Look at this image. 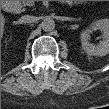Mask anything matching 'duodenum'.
Instances as JSON below:
<instances>
[{
    "label": "duodenum",
    "instance_id": "obj_1",
    "mask_svg": "<svg viewBox=\"0 0 109 109\" xmlns=\"http://www.w3.org/2000/svg\"><path fill=\"white\" fill-rule=\"evenodd\" d=\"M11 7H12V6H11V3L6 2V3L3 4V8H4L5 10H10Z\"/></svg>",
    "mask_w": 109,
    "mask_h": 109
}]
</instances>
